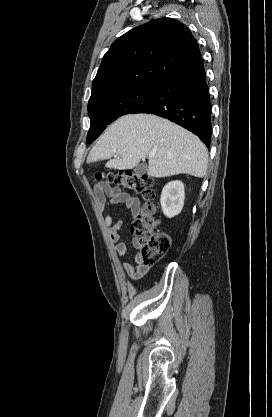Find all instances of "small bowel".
Returning a JSON list of instances; mask_svg holds the SVG:
<instances>
[{
  "instance_id": "1",
  "label": "small bowel",
  "mask_w": 272,
  "mask_h": 417,
  "mask_svg": "<svg viewBox=\"0 0 272 417\" xmlns=\"http://www.w3.org/2000/svg\"><path fill=\"white\" fill-rule=\"evenodd\" d=\"M94 197L97 208L102 213L111 204H119L126 207L133 217H137L141 210V202L137 197L122 191L119 187L111 186L107 182H99L95 185ZM104 223L109 232L111 241L114 243L116 254L123 257L126 256L128 254V247L120 240V231L123 226V221H113L112 217L109 214H106ZM132 244L135 248L139 247L138 239L134 238ZM122 268L132 281L140 280L149 270L148 266L141 263L140 254L135 255L133 262H123Z\"/></svg>"
}]
</instances>
